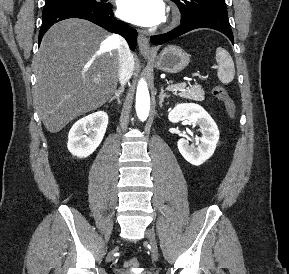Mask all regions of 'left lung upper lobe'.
<instances>
[{
    "label": "left lung upper lobe",
    "mask_w": 289,
    "mask_h": 274,
    "mask_svg": "<svg viewBox=\"0 0 289 274\" xmlns=\"http://www.w3.org/2000/svg\"><path fill=\"white\" fill-rule=\"evenodd\" d=\"M181 12V22L203 14H227L225 0H172Z\"/></svg>",
    "instance_id": "5c2ea615"
}]
</instances>
